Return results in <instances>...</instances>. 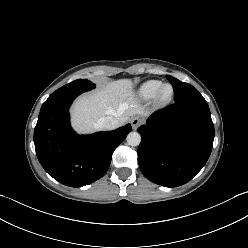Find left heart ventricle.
I'll return each mask as SVG.
<instances>
[{
	"mask_svg": "<svg viewBox=\"0 0 248 248\" xmlns=\"http://www.w3.org/2000/svg\"><path fill=\"white\" fill-rule=\"evenodd\" d=\"M169 92H170V89H169V88H166L165 91H164V94H165V95H168Z\"/></svg>",
	"mask_w": 248,
	"mask_h": 248,
	"instance_id": "1",
	"label": "left heart ventricle"
}]
</instances>
